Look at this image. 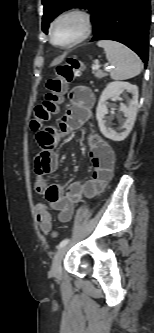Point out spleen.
Segmentation results:
<instances>
[{"label":"spleen","instance_id":"3e777b00","mask_svg":"<svg viewBox=\"0 0 154 333\" xmlns=\"http://www.w3.org/2000/svg\"><path fill=\"white\" fill-rule=\"evenodd\" d=\"M97 45L104 49L108 62L113 66L110 72L112 79L126 80L141 73V59L125 45L111 40H100Z\"/></svg>","mask_w":154,"mask_h":333}]
</instances>
